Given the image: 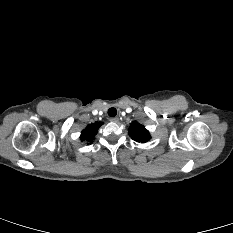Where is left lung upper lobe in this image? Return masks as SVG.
<instances>
[{
    "instance_id": "left-lung-upper-lobe-1",
    "label": "left lung upper lobe",
    "mask_w": 233,
    "mask_h": 233,
    "mask_svg": "<svg viewBox=\"0 0 233 233\" xmlns=\"http://www.w3.org/2000/svg\"><path fill=\"white\" fill-rule=\"evenodd\" d=\"M129 135L132 137L134 141L137 142H147L150 140L151 136L148 132V130L145 129V127L138 122L134 121L130 124V127L128 128Z\"/></svg>"
}]
</instances>
